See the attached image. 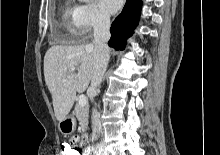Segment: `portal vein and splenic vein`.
Here are the masks:
<instances>
[{"label": "portal vein and splenic vein", "mask_w": 220, "mask_h": 155, "mask_svg": "<svg viewBox=\"0 0 220 155\" xmlns=\"http://www.w3.org/2000/svg\"><path fill=\"white\" fill-rule=\"evenodd\" d=\"M73 71H75V67L69 69V72H73ZM62 81L65 82V79H63ZM78 104L80 106H85L87 104V98L85 95L81 94L79 96Z\"/></svg>", "instance_id": "portal-vein-and-splenic-vein-1"}]
</instances>
